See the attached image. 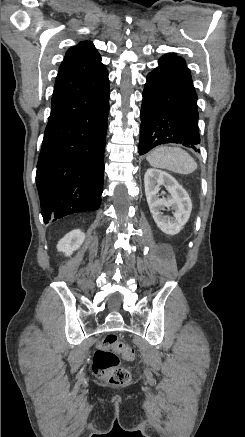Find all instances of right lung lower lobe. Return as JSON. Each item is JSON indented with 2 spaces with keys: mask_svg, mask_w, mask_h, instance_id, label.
Listing matches in <instances>:
<instances>
[{
  "mask_svg": "<svg viewBox=\"0 0 245 437\" xmlns=\"http://www.w3.org/2000/svg\"><path fill=\"white\" fill-rule=\"evenodd\" d=\"M109 95L107 78L86 92L52 100L36 173L45 224L100 207Z\"/></svg>",
  "mask_w": 245,
  "mask_h": 437,
  "instance_id": "obj_1",
  "label": "right lung lower lobe"
}]
</instances>
